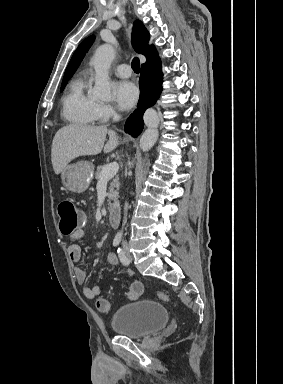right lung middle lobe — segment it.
I'll use <instances>...</instances> for the list:
<instances>
[{"label": "right lung middle lobe", "instance_id": "obj_1", "mask_svg": "<svg viewBox=\"0 0 283 384\" xmlns=\"http://www.w3.org/2000/svg\"><path fill=\"white\" fill-rule=\"evenodd\" d=\"M66 84H67V82H65V83H62V85H61V89H60V92H62V91H63V89L65 88Z\"/></svg>", "mask_w": 283, "mask_h": 384}]
</instances>
